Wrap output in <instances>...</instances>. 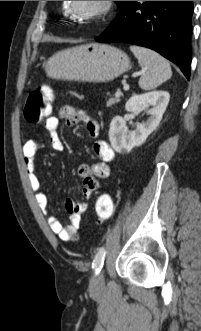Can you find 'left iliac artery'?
Masks as SVG:
<instances>
[{
    "instance_id": "44dca946",
    "label": "left iliac artery",
    "mask_w": 201,
    "mask_h": 331,
    "mask_svg": "<svg viewBox=\"0 0 201 331\" xmlns=\"http://www.w3.org/2000/svg\"><path fill=\"white\" fill-rule=\"evenodd\" d=\"M105 254H106L105 248L101 247L98 250L97 254L95 255L92 268L94 269L96 274H98L103 267Z\"/></svg>"
}]
</instances>
